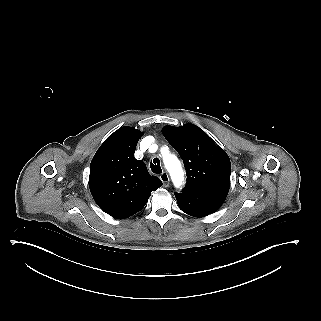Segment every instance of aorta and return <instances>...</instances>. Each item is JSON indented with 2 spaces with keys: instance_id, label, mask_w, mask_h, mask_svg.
<instances>
[{
  "instance_id": "aorta-1",
  "label": "aorta",
  "mask_w": 321,
  "mask_h": 321,
  "mask_svg": "<svg viewBox=\"0 0 321 321\" xmlns=\"http://www.w3.org/2000/svg\"><path fill=\"white\" fill-rule=\"evenodd\" d=\"M164 164L171 175L174 185L180 187L184 182V177L178 158L175 155H167L164 159Z\"/></svg>"
}]
</instances>
